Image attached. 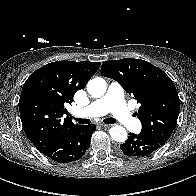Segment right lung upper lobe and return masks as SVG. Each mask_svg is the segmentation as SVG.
<instances>
[{"mask_svg": "<svg viewBox=\"0 0 196 196\" xmlns=\"http://www.w3.org/2000/svg\"><path fill=\"white\" fill-rule=\"evenodd\" d=\"M98 62L57 61L36 71L23 85L19 100L22 127L33 145L42 151L75 125L65 105L83 89L99 68Z\"/></svg>", "mask_w": 196, "mask_h": 196, "instance_id": "cb5924a9", "label": "right lung upper lobe"}]
</instances>
